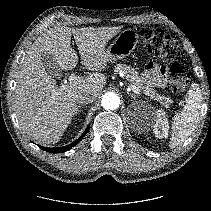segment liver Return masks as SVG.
Here are the masks:
<instances>
[{
	"label": "liver",
	"mask_w": 211,
	"mask_h": 211,
	"mask_svg": "<svg viewBox=\"0 0 211 211\" xmlns=\"http://www.w3.org/2000/svg\"><path fill=\"white\" fill-rule=\"evenodd\" d=\"M120 29L55 26L34 41L17 73L13 94L15 114L29 136L42 143H57L78 108L77 95L90 91L95 98L98 96L106 84V77L101 71L110 62L105 45ZM72 34L82 65L96 72L76 83L58 87L42 63V54L51 55L60 70L73 69L78 63V56L71 48Z\"/></svg>",
	"instance_id": "liver-1"
}]
</instances>
